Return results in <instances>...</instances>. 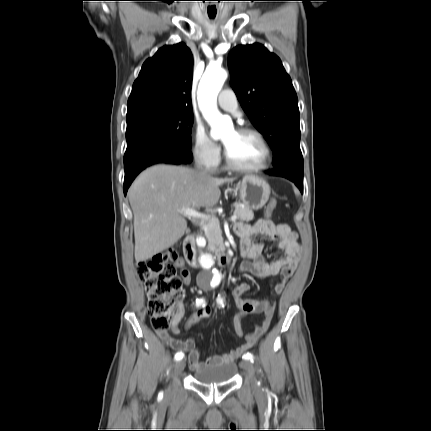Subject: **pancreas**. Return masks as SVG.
<instances>
[{
	"label": "pancreas",
	"instance_id": "cf45deb5",
	"mask_svg": "<svg viewBox=\"0 0 431 431\" xmlns=\"http://www.w3.org/2000/svg\"><path fill=\"white\" fill-rule=\"evenodd\" d=\"M234 207V214L237 216L238 220L249 222L254 219L253 211L247 206H243L241 203L235 202ZM204 231L205 237L208 240V248L210 250H216L219 246L222 245L223 239L221 236V229L218 222L212 220L206 221L204 223Z\"/></svg>",
	"mask_w": 431,
	"mask_h": 431
}]
</instances>
